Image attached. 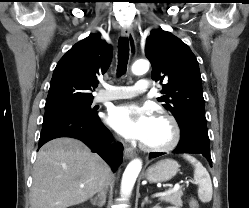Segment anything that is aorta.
Instances as JSON below:
<instances>
[{
	"instance_id": "762f6f07",
	"label": "aorta",
	"mask_w": 249,
	"mask_h": 208,
	"mask_svg": "<svg viewBox=\"0 0 249 208\" xmlns=\"http://www.w3.org/2000/svg\"><path fill=\"white\" fill-rule=\"evenodd\" d=\"M149 70V62L147 60H137L132 66V72L135 75H142ZM142 169V161L140 159L132 160L126 167L121 181L120 193L122 197H130L136 179Z\"/></svg>"
}]
</instances>
